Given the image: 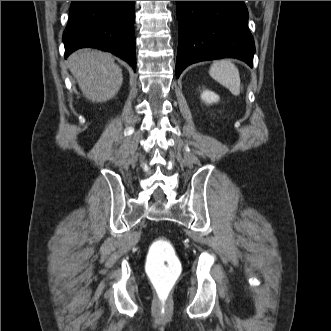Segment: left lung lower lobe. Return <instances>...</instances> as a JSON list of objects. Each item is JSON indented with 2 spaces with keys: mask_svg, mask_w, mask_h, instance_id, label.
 <instances>
[{
  "mask_svg": "<svg viewBox=\"0 0 331 331\" xmlns=\"http://www.w3.org/2000/svg\"><path fill=\"white\" fill-rule=\"evenodd\" d=\"M176 76L190 64L237 58L253 67L255 45L244 1H176Z\"/></svg>",
  "mask_w": 331,
  "mask_h": 331,
  "instance_id": "left-lung-lower-lobe-1",
  "label": "left lung lower lobe"
}]
</instances>
